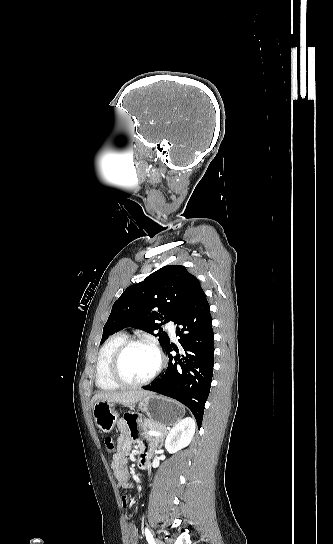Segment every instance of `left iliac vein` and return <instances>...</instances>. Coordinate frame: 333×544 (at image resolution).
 Segmentation results:
<instances>
[{
    "instance_id": "left-iliac-vein-1",
    "label": "left iliac vein",
    "mask_w": 333,
    "mask_h": 544,
    "mask_svg": "<svg viewBox=\"0 0 333 544\" xmlns=\"http://www.w3.org/2000/svg\"><path fill=\"white\" fill-rule=\"evenodd\" d=\"M155 544H162V543H160V541L156 540V543H155Z\"/></svg>"
}]
</instances>
